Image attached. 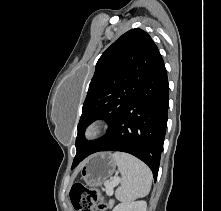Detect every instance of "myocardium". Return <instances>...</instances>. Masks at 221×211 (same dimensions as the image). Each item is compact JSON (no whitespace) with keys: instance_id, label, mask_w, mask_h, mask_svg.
I'll use <instances>...</instances> for the list:
<instances>
[{"instance_id":"1","label":"myocardium","mask_w":221,"mask_h":211,"mask_svg":"<svg viewBox=\"0 0 221 211\" xmlns=\"http://www.w3.org/2000/svg\"><path fill=\"white\" fill-rule=\"evenodd\" d=\"M105 123L102 119L91 121L84 129L83 136L87 141L97 139L103 133Z\"/></svg>"}]
</instances>
